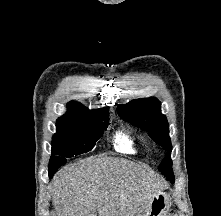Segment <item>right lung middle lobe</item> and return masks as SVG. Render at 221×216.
Listing matches in <instances>:
<instances>
[{
    "label": "right lung middle lobe",
    "instance_id": "obj_1",
    "mask_svg": "<svg viewBox=\"0 0 221 216\" xmlns=\"http://www.w3.org/2000/svg\"><path fill=\"white\" fill-rule=\"evenodd\" d=\"M108 115L83 117L57 126V133L52 138L49 174H54L56 168L65 164L66 158L92 150L108 126Z\"/></svg>",
    "mask_w": 221,
    "mask_h": 216
}]
</instances>
